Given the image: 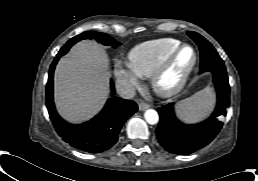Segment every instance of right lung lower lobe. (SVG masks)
<instances>
[{"mask_svg":"<svg viewBox=\"0 0 258 181\" xmlns=\"http://www.w3.org/2000/svg\"><path fill=\"white\" fill-rule=\"evenodd\" d=\"M63 52H58L51 64L46 86V105L50 118L58 135L74 148L84 152H104L118 141L120 129L126 120L138 110L137 104L134 101L113 96L92 120L80 125L65 122L56 112L53 102V74ZM111 87L112 94H114L113 84Z\"/></svg>","mask_w":258,"mask_h":181,"instance_id":"98d812e1","label":"right lung lower lobe"}]
</instances>
